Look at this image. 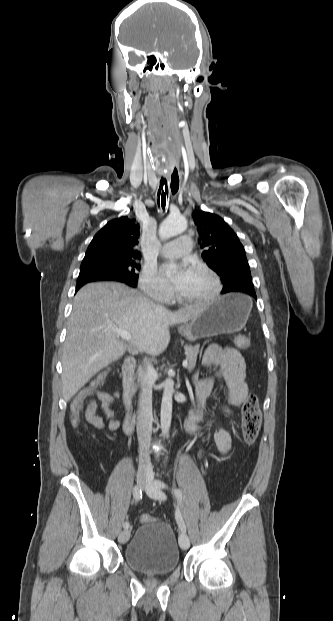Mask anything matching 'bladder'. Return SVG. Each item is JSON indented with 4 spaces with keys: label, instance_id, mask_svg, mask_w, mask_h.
Wrapping results in <instances>:
<instances>
[{
    "label": "bladder",
    "instance_id": "31cf9c89",
    "mask_svg": "<svg viewBox=\"0 0 333 621\" xmlns=\"http://www.w3.org/2000/svg\"><path fill=\"white\" fill-rule=\"evenodd\" d=\"M132 569L149 575L172 572L179 564V546L171 526L160 520L143 523L124 549Z\"/></svg>",
    "mask_w": 333,
    "mask_h": 621
}]
</instances>
